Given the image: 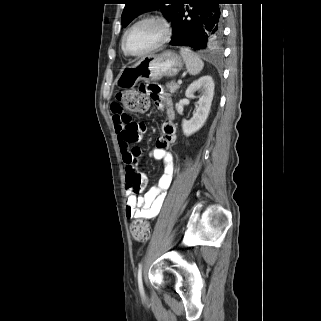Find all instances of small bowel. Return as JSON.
Masks as SVG:
<instances>
[{"label":"small bowel","instance_id":"obj_1","mask_svg":"<svg viewBox=\"0 0 321 321\" xmlns=\"http://www.w3.org/2000/svg\"><path fill=\"white\" fill-rule=\"evenodd\" d=\"M137 91L142 93L143 98L152 96L156 108L164 110L166 114V119L162 124V135L157 139L156 145L151 151V156L155 160L162 161L163 173L158 182L144 195L138 196L132 190H127L125 213L129 220L153 219L159 214L174 173V160L170 152V148L176 140L175 111L172 99L157 82L138 83ZM111 111L120 152L128 172L131 167L137 166L142 158L141 150L132 144L142 139L146 125L123 115L118 109L117 103L111 105Z\"/></svg>","mask_w":321,"mask_h":321}]
</instances>
